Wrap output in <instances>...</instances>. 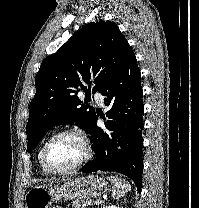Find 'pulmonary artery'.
<instances>
[{"label": "pulmonary artery", "mask_w": 199, "mask_h": 208, "mask_svg": "<svg viewBox=\"0 0 199 208\" xmlns=\"http://www.w3.org/2000/svg\"><path fill=\"white\" fill-rule=\"evenodd\" d=\"M94 99H95V101H96V103H97L98 105H100V106L103 105V103H104V98H103L102 94H100V93H98V92H95V93H94Z\"/></svg>", "instance_id": "obj_1"}]
</instances>
